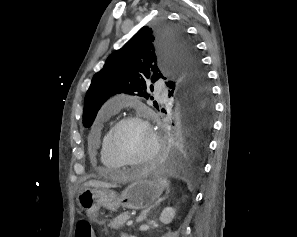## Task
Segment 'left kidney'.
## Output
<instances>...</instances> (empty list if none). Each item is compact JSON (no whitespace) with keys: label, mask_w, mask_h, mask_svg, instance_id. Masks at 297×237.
<instances>
[{"label":"left kidney","mask_w":297,"mask_h":237,"mask_svg":"<svg viewBox=\"0 0 297 237\" xmlns=\"http://www.w3.org/2000/svg\"><path fill=\"white\" fill-rule=\"evenodd\" d=\"M175 217V210L172 207H166L163 209L159 220L163 224H170Z\"/></svg>","instance_id":"1"}]
</instances>
